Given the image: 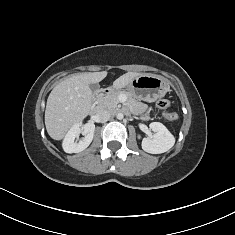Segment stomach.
Segmentation results:
<instances>
[{"mask_svg": "<svg viewBox=\"0 0 235 235\" xmlns=\"http://www.w3.org/2000/svg\"><path fill=\"white\" fill-rule=\"evenodd\" d=\"M168 88L166 79L152 74H142L133 79L126 87L134 99L146 102H153L162 98Z\"/></svg>", "mask_w": 235, "mask_h": 235, "instance_id": "obj_1", "label": "stomach"}]
</instances>
